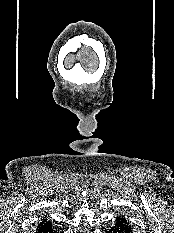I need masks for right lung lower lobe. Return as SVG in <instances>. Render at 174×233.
Returning a JSON list of instances; mask_svg holds the SVG:
<instances>
[{"label": "right lung lower lobe", "instance_id": "right-lung-lower-lobe-1", "mask_svg": "<svg viewBox=\"0 0 174 233\" xmlns=\"http://www.w3.org/2000/svg\"><path fill=\"white\" fill-rule=\"evenodd\" d=\"M36 233H57V229L53 225H48L36 229Z\"/></svg>", "mask_w": 174, "mask_h": 233}]
</instances>
